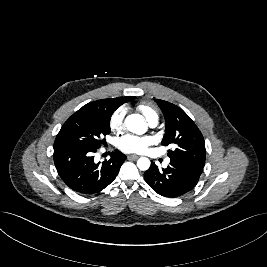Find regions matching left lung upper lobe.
I'll use <instances>...</instances> for the list:
<instances>
[{
  "label": "left lung upper lobe",
  "instance_id": "left-lung-upper-lobe-1",
  "mask_svg": "<svg viewBox=\"0 0 267 267\" xmlns=\"http://www.w3.org/2000/svg\"><path fill=\"white\" fill-rule=\"evenodd\" d=\"M165 117V134L162 145L173 144L174 150H168L170 159L205 165L206 150L204 138L192 119L178 106L155 100Z\"/></svg>",
  "mask_w": 267,
  "mask_h": 267
}]
</instances>
